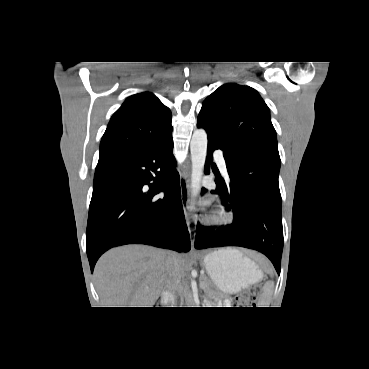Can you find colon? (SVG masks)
Masks as SVG:
<instances>
[{"mask_svg":"<svg viewBox=\"0 0 369 369\" xmlns=\"http://www.w3.org/2000/svg\"><path fill=\"white\" fill-rule=\"evenodd\" d=\"M260 295V289L257 286L252 287L248 291L239 294L235 298L236 306L238 307H253Z\"/></svg>","mask_w":369,"mask_h":369,"instance_id":"obj_1","label":"colon"}]
</instances>
